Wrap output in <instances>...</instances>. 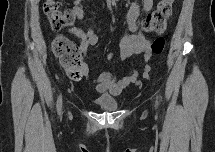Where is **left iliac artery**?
Masks as SVG:
<instances>
[{
  "label": "left iliac artery",
  "instance_id": "44dca946",
  "mask_svg": "<svg viewBox=\"0 0 215 152\" xmlns=\"http://www.w3.org/2000/svg\"><path fill=\"white\" fill-rule=\"evenodd\" d=\"M158 104V96H156V105Z\"/></svg>",
  "mask_w": 215,
  "mask_h": 152
}]
</instances>
